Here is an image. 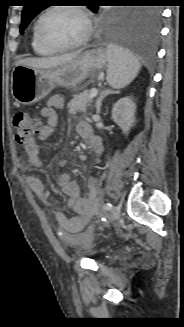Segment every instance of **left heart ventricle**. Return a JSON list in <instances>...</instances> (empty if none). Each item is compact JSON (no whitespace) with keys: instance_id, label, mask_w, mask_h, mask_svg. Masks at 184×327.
Wrapping results in <instances>:
<instances>
[{"instance_id":"left-heart-ventricle-1","label":"left heart ventricle","mask_w":184,"mask_h":327,"mask_svg":"<svg viewBox=\"0 0 184 327\" xmlns=\"http://www.w3.org/2000/svg\"><path fill=\"white\" fill-rule=\"evenodd\" d=\"M43 33L51 42L64 45L79 40L85 33L82 17L70 9H57L50 12L42 24Z\"/></svg>"}]
</instances>
